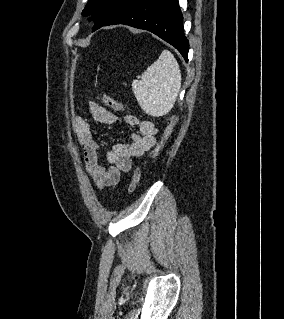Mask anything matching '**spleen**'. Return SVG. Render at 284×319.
<instances>
[{"label": "spleen", "instance_id": "3e777b00", "mask_svg": "<svg viewBox=\"0 0 284 319\" xmlns=\"http://www.w3.org/2000/svg\"><path fill=\"white\" fill-rule=\"evenodd\" d=\"M181 87L179 65L168 50L141 75L133 80L132 90L141 106L149 115L159 117L167 114L174 106Z\"/></svg>", "mask_w": 284, "mask_h": 319}]
</instances>
